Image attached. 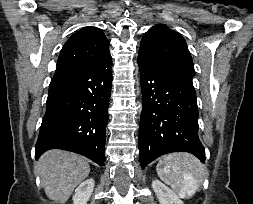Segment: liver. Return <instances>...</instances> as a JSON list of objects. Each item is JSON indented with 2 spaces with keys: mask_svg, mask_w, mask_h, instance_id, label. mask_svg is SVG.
Here are the masks:
<instances>
[{
  "mask_svg": "<svg viewBox=\"0 0 253 204\" xmlns=\"http://www.w3.org/2000/svg\"><path fill=\"white\" fill-rule=\"evenodd\" d=\"M36 169L47 197L61 204L90 173L86 158L58 149L45 152L39 158Z\"/></svg>",
  "mask_w": 253,
  "mask_h": 204,
  "instance_id": "obj_1",
  "label": "liver"
}]
</instances>
